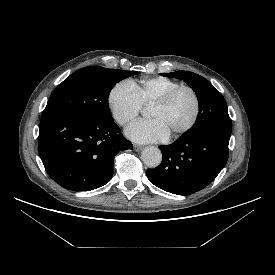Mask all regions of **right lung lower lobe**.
<instances>
[{
    "instance_id": "obj_1",
    "label": "right lung lower lobe",
    "mask_w": 275,
    "mask_h": 275,
    "mask_svg": "<svg viewBox=\"0 0 275 275\" xmlns=\"http://www.w3.org/2000/svg\"><path fill=\"white\" fill-rule=\"evenodd\" d=\"M113 122L56 111L43 113L38 149L48 175L72 191H90L110 181L114 157L133 145Z\"/></svg>"
}]
</instances>
